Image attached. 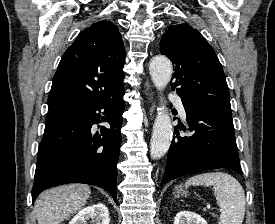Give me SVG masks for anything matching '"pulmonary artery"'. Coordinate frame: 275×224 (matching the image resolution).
<instances>
[{"label":"pulmonary artery","instance_id":"e3ab8cb5","mask_svg":"<svg viewBox=\"0 0 275 224\" xmlns=\"http://www.w3.org/2000/svg\"><path fill=\"white\" fill-rule=\"evenodd\" d=\"M169 98L175 103L180 115L185 118L186 113L181 98L176 94H170Z\"/></svg>","mask_w":275,"mask_h":224}]
</instances>
